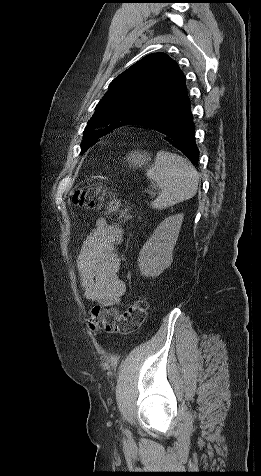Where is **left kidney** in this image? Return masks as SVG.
<instances>
[{
	"label": "left kidney",
	"mask_w": 261,
	"mask_h": 476,
	"mask_svg": "<svg viewBox=\"0 0 261 476\" xmlns=\"http://www.w3.org/2000/svg\"><path fill=\"white\" fill-rule=\"evenodd\" d=\"M183 222V214H176L162 221L142 247L138 266L146 277H157L173 261V250Z\"/></svg>",
	"instance_id": "1"
}]
</instances>
